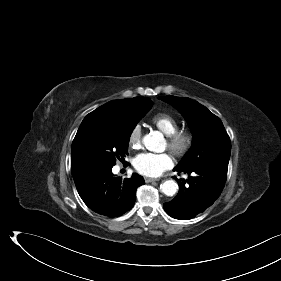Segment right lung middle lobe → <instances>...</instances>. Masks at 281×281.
Instances as JSON below:
<instances>
[{"label": "right lung middle lobe", "mask_w": 281, "mask_h": 281, "mask_svg": "<svg viewBox=\"0 0 281 281\" xmlns=\"http://www.w3.org/2000/svg\"><path fill=\"white\" fill-rule=\"evenodd\" d=\"M152 105L153 102L146 98L124 118L89 122L81 132L76 147L79 166L84 170L113 166L116 159H124L133 129Z\"/></svg>", "instance_id": "right-lung-middle-lobe-1"}]
</instances>
